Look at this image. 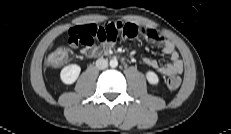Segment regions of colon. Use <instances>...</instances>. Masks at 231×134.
<instances>
[{"label":"colon","mask_w":231,"mask_h":134,"mask_svg":"<svg viewBox=\"0 0 231 134\" xmlns=\"http://www.w3.org/2000/svg\"><path fill=\"white\" fill-rule=\"evenodd\" d=\"M68 57V50L66 48H60L55 50L47 60V64L50 67L58 68L61 67ZM167 87L171 90L179 88L181 84V78L179 76H170L166 81Z\"/></svg>","instance_id":"obj_1"}]
</instances>
